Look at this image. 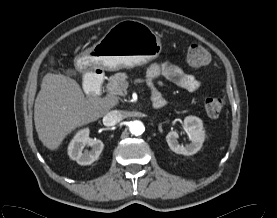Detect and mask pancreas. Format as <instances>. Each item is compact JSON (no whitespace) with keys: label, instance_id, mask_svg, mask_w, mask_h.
<instances>
[{"label":"pancreas","instance_id":"pancreas-1","mask_svg":"<svg viewBox=\"0 0 277 218\" xmlns=\"http://www.w3.org/2000/svg\"><path fill=\"white\" fill-rule=\"evenodd\" d=\"M127 78L126 73H116L110 76L109 81L106 85V89L110 95L123 96L125 90L127 89Z\"/></svg>","mask_w":277,"mask_h":218}]
</instances>
